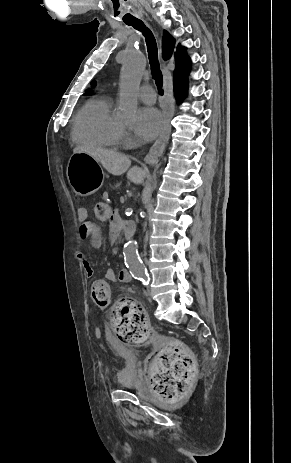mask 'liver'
Wrapping results in <instances>:
<instances>
[{"label": "liver", "mask_w": 291, "mask_h": 463, "mask_svg": "<svg viewBox=\"0 0 291 463\" xmlns=\"http://www.w3.org/2000/svg\"><path fill=\"white\" fill-rule=\"evenodd\" d=\"M73 152H84L89 154L95 160L100 162L102 166L112 175H121L127 172V178L133 183L142 184L144 182L145 171L138 166L130 168L131 161L124 154L87 146H77L74 148Z\"/></svg>", "instance_id": "obj_1"}]
</instances>
